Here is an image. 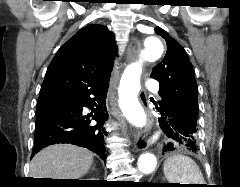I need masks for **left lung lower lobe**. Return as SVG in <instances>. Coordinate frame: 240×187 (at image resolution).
Segmentation results:
<instances>
[{
  "mask_svg": "<svg viewBox=\"0 0 240 187\" xmlns=\"http://www.w3.org/2000/svg\"><path fill=\"white\" fill-rule=\"evenodd\" d=\"M160 113L159 124L173 142L165 144L163 152L174 150L177 146L197 152V119L195 113L173 102L155 104Z\"/></svg>",
  "mask_w": 240,
  "mask_h": 187,
  "instance_id": "1",
  "label": "left lung lower lobe"
}]
</instances>
